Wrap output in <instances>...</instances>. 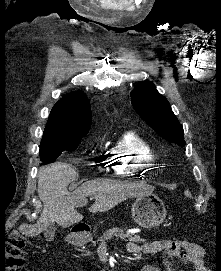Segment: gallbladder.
<instances>
[{"label":"gallbladder","instance_id":"gallbladder-1","mask_svg":"<svg viewBox=\"0 0 221 271\" xmlns=\"http://www.w3.org/2000/svg\"><path fill=\"white\" fill-rule=\"evenodd\" d=\"M57 227L55 225H49L46 229H43V235L46 241H54V235Z\"/></svg>","mask_w":221,"mask_h":271}]
</instances>
